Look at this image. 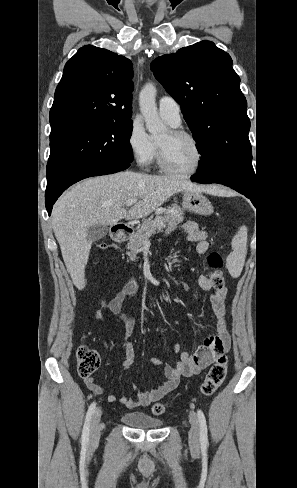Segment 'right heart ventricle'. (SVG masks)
Here are the masks:
<instances>
[{"label": "right heart ventricle", "mask_w": 297, "mask_h": 488, "mask_svg": "<svg viewBox=\"0 0 297 488\" xmlns=\"http://www.w3.org/2000/svg\"><path fill=\"white\" fill-rule=\"evenodd\" d=\"M155 143V151H154V155H153V158H156L157 157V143Z\"/></svg>", "instance_id": "right-heart-ventricle-1"}]
</instances>
